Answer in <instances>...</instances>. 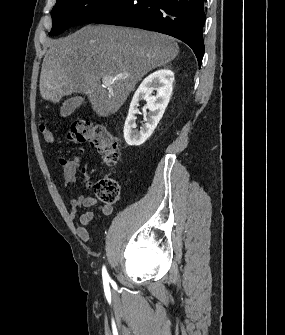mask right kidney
I'll list each match as a JSON object with an SVG mask.
<instances>
[{
	"mask_svg": "<svg viewBox=\"0 0 285 335\" xmlns=\"http://www.w3.org/2000/svg\"><path fill=\"white\" fill-rule=\"evenodd\" d=\"M173 80L174 72H171V70H157V72L147 76L140 84L133 96L129 114L124 124V138L128 146H141L153 134L165 112V108L169 104ZM154 90L156 96H152ZM140 100H146V108L149 112L144 114V122L146 124L141 128L140 132H133L135 120H137L135 114L138 112L137 108Z\"/></svg>",
	"mask_w": 285,
	"mask_h": 335,
	"instance_id": "ca27d5eb",
	"label": "right kidney"
}]
</instances>
